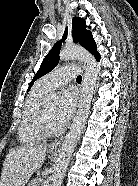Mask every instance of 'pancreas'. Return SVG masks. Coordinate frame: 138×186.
<instances>
[{"instance_id":"1","label":"pancreas","mask_w":138,"mask_h":186,"mask_svg":"<svg viewBox=\"0 0 138 186\" xmlns=\"http://www.w3.org/2000/svg\"><path fill=\"white\" fill-rule=\"evenodd\" d=\"M28 186H39L38 180L37 179H33Z\"/></svg>"}]
</instances>
